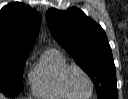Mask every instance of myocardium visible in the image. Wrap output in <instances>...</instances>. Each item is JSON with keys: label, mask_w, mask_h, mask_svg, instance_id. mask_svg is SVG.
<instances>
[{"label": "myocardium", "mask_w": 128, "mask_h": 99, "mask_svg": "<svg viewBox=\"0 0 128 99\" xmlns=\"http://www.w3.org/2000/svg\"><path fill=\"white\" fill-rule=\"evenodd\" d=\"M73 69L79 70L87 78V80L89 82V85H90V92L87 96H83V97L82 96H77V95L73 94L70 91V89L67 85V76H68V73ZM60 81H61V86H62L63 90L68 95H70L71 97H75V98H78V99H87V98H90L93 95L94 83H93V80H92L91 76L89 75V73L84 68H82L81 66H79L77 64L67 65L61 73ZM79 97H81V98H79Z\"/></svg>", "instance_id": "f54148a6"}]
</instances>
